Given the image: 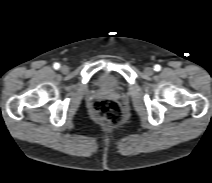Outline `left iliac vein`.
<instances>
[{
	"label": "left iliac vein",
	"instance_id": "left-iliac-vein-1",
	"mask_svg": "<svg viewBox=\"0 0 212 183\" xmlns=\"http://www.w3.org/2000/svg\"><path fill=\"white\" fill-rule=\"evenodd\" d=\"M144 72H145L146 75L150 76V75H152L154 73V69L152 67H146L144 69Z\"/></svg>",
	"mask_w": 212,
	"mask_h": 183
}]
</instances>
